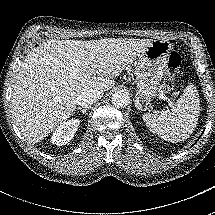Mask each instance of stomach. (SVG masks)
I'll list each match as a JSON object with an SVG mask.
<instances>
[{"label": "stomach", "mask_w": 215, "mask_h": 215, "mask_svg": "<svg viewBox=\"0 0 215 215\" xmlns=\"http://www.w3.org/2000/svg\"><path fill=\"white\" fill-rule=\"evenodd\" d=\"M172 52L173 46L168 40H154L138 54L133 71L142 102H151L156 97Z\"/></svg>", "instance_id": "obj_1"}]
</instances>
